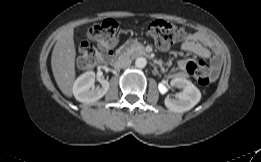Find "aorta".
<instances>
[{
	"instance_id": "aorta-1",
	"label": "aorta",
	"mask_w": 261,
	"mask_h": 162,
	"mask_svg": "<svg viewBox=\"0 0 261 162\" xmlns=\"http://www.w3.org/2000/svg\"><path fill=\"white\" fill-rule=\"evenodd\" d=\"M147 64V60L146 58L144 57H138L136 60H135V66L137 68H144Z\"/></svg>"
}]
</instances>
